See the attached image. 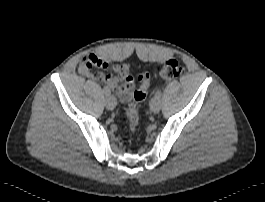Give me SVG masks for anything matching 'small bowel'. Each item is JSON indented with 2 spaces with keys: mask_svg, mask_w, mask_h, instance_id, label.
I'll list each match as a JSON object with an SVG mask.
<instances>
[{
  "mask_svg": "<svg viewBox=\"0 0 265 202\" xmlns=\"http://www.w3.org/2000/svg\"><path fill=\"white\" fill-rule=\"evenodd\" d=\"M111 69L114 74L94 71ZM79 74L106 85L109 91L114 92L122 102H129L135 89V80L126 64L111 63L107 59L91 53L84 56L78 66Z\"/></svg>",
  "mask_w": 265,
  "mask_h": 202,
  "instance_id": "1",
  "label": "small bowel"
}]
</instances>
